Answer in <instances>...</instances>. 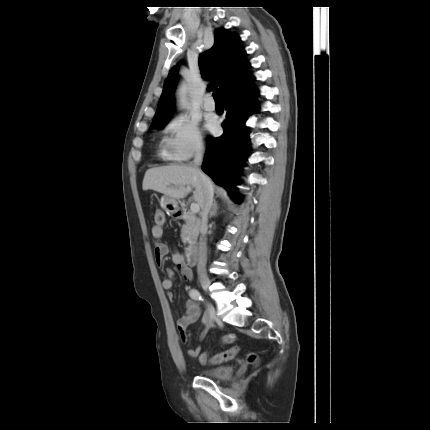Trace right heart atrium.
Instances as JSON below:
<instances>
[{"label":"right heart atrium","mask_w":430,"mask_h":430,"mask_svg":"<svg viewBox=\"0 0 430 430\" xmlns=\"http://www.w3.org/2000/svg\"><path fill=\"white\" fill-rule=\"evenodd\" d=\"M204 140L197 123L186 115L173 117L164 128L162 154L171 161H185L201 153Z\"/></svg>","instance_id":"right-heart-atrium-1"}]
</instances>
